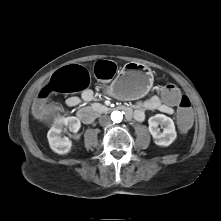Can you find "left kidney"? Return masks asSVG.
<instances>
[{
    "label": "left kidney",
    "mask_w": 221,
    "mask_h": 221,
    "mask_svg": "<svg viewBox=\"0 0 221 221\" xmlns=\"http://www.w3.org/2000/svg\"><path fill=\"white\" fill-rule=\"evenodd\" d=\"M149 132L151 133L155 144L159 146H169L177 137L175 125L170 117L163 114H156L149 118ZM158 125L163 126L161 132Z\"/></svg>",
    "instance_id": "5707ae66"
}]
</instances>
